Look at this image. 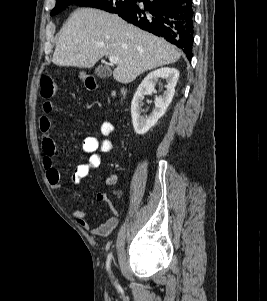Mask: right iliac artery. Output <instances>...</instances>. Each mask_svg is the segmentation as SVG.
Here are the masks:
<instances>
[{"instance_id":"right-iliac-artery-1","label":"right iliac artery","mask_w":267,"mask_h":301,"mask_svg":"<svg viewBox=\"0 0 267 301\" xmlns=\"http://www.w3.org/2000/svg\"><path fill=\"white\" fill-rule=\"evenodd\" d=\"M111 258H112V253H110V254L108 255L107 262H106V268H107L108 271L110 270V262H111Z\"/></svg>"}]
</instances>
